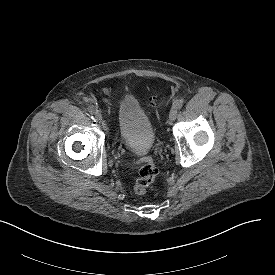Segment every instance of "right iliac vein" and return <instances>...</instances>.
I'll list each match as a JSON object with an SVG mask.
<instances>
[{
    "instance_id": "1",
    "label": "right iliac vein",
    "mask_w": 275,
    "mask_h": 275,
    "mask_svg": "<svg viewBox=\"0 0 275 275\" xmlns=\"http://www.w3.org/2000/svg\"><path fill=\"white\" fill-rule=\"evenodd\" d=\"M94 116H95V118H96L97 121H101L102 120V115H101L100 111L97 110V109L94 112Z\"/></svg>"
}]
</instances>
